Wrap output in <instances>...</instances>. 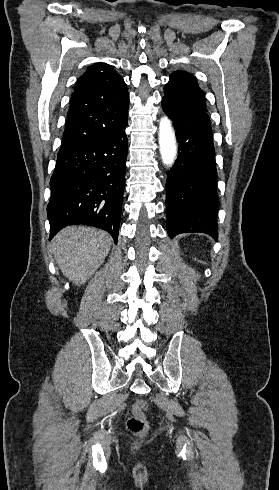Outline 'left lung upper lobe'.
<instances>
[{"label":"left lung upper lobe","instance_id":"5c2ea615","mask_svg":"<svg viewBox=\"0 0 279 490\" xmlns=\"http://www.w3.org/2000/svg\"><path fill=\"white\" fill-rule=\"evenodd\" d=\"M164 92V97L177 104L195 111L206 112L205 93L199 88L196 78L190 73L173 72Z\"/></svg>","mask_w":279,"mask_h":490}]
</instances>
